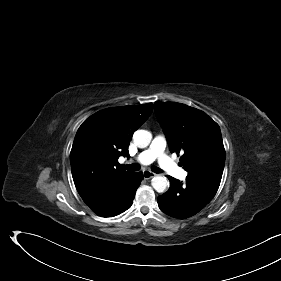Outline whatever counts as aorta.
Listing matches in <instances>:
<instances>
[{
	"label": "aorta",
	"mask_w": 281,
	"mask_h": 281,
	"mask_svg": "<svg viewBox=\"0 0 281 281\" xmlns=\"http://www.w3.org/2000/svg\"><path fill=\"white\" fill-rule=\"evenodd\" d=\"M152 139V134L147 130H137L133 135V140L139 148L147 147ZM152 187L159 193L166 190L169 185L168 180L164 176H155L152 179Z\"/></svg>",
	"instance_id": "obj_1"
}]
</instances>
